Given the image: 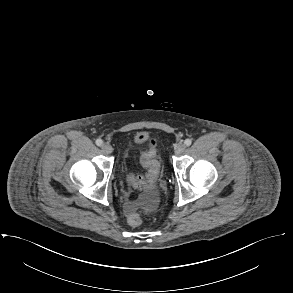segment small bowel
Listing matches in <instances>:
<instances>
[{"instance_id":"obj_1","label":"small bowel","mask_w":293,"mask_h":293,"mask_svg":"<svg viewBox=\"0 0 293 293\" xmlns=\"http://www.w3.org/2000/svg\"><path fill=\"white\" fill-rule=\"evenodd\" d=\"M136 141L145 142L146 137L143 135H139L136 138ZM130 183L135 188H138V189L144 188L141 178H131ZM123 201H124V211L127 214V216L134 214L136 211L137 202L134 199H132L128 193L124 194Z\"/></svg>"}]
</instances>
